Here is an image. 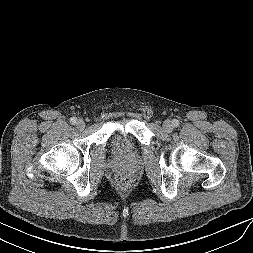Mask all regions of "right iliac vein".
I'll list each match as a JSON object with an SVG mask.
<instances>
[{"label": "right iliac vein", "instance_id": "1", "mask_svg": "<svg viewBox=\"0 0 253 253\" xmlns=\"http://www.w3.org/2000/svg\"><path fill=\"white\" fill-rule=\"evenodd\" d=\"M76 127L78 129H84L85 128V122L82 120V119H79L77 122H76Z\"/></svg>", "mask_w": 253, "mask_h": 253}]
</instances>
